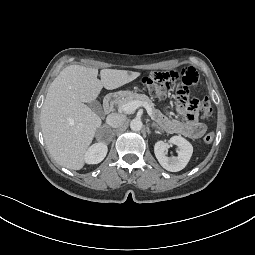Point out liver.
Returning a JSON list of instances; mask_svg holds the SVG:
<instances>
[{"label": "liver", "instance_id": "liver-1", "mask_svg": "<svg viewBox=\"0 0 255 255\" xmlns=\"http://www.w3.org/2000/svg\"><path fill=\"white\" fill-rule=\"evenodd\" d=\"M98 70L81 65L65 67L50 85L41 109V129L52 158L68 169L80 170L101 118L85 103H91L102 88L113 90L140 76V72Z\"/></svg>", "mask_w": 255, "mask_h": 255}]
</instances>
